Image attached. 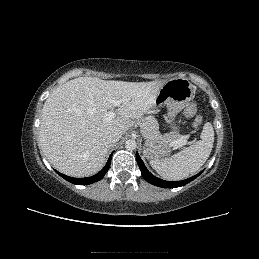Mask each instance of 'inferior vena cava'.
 <instances>
[{
    "instance_id": "inferior-vena-cava-1",
    "label": "inferior vena cava",
    "mask_w": 259,
    "mask_h": 259,
    "mask_svg": "<svg viewBox=\"0 0 259 259\" xmlns=\"http://www.w3.org/2000/svg\"><path fill=\"white\" fill-rule=\"evenodd\" d=\"M122 136V132L120 131H111L109 132L107 135H106V140L108 143H115L117 141H119V139L121 138Z\"/></svg>"
}]
</instances>
